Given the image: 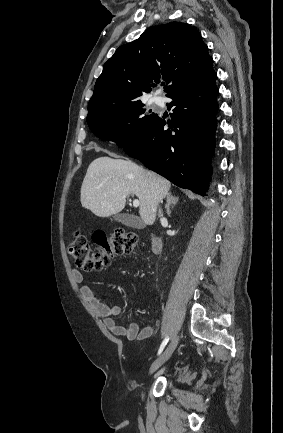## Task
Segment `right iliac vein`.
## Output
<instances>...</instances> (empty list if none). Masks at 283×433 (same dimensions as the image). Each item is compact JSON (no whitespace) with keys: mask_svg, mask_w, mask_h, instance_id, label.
Here are the masks:
<instances>
[{"mask_svg":"<svg viewBox=\"0 0 283 433\" xmlns=\"http://www.w3.org/2000/svg\"><path fill=\"white\" fill-rule=\"evenodd\" d=\"M178 341L179 336L178 334H175L165 351L154 361V363L150 367L149 374H152L156 370H158L171 357L172 353L177 347Z\"/></svg>","mask_w":283,"mask_h":433,"instance_id":"obj_1","label":"right iliac vein"}]
</instances>
